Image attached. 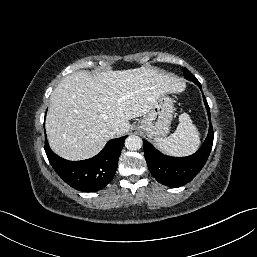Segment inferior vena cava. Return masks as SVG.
<instances>
[{
	"label": "inferior vena cava",
	"instance_id": "obj_1",
	"mask_svg": "<svg viewBox=\"0 0 257 257\" xmlns=\"http://www.w3.org/2000/svg\"><path fill=\"white\" fill-rule=\"evenodd\" d=\"M118 132V128L117 127H110L109 128V133L111 136H114L115 134H117Z\"/></svg>",
	"mask_w": 257,
	"mask_h": 257
}]
</instances>
